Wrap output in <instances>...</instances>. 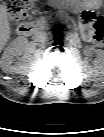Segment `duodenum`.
I'll list each match as a JSON object with an SVG mask.
<instances>
[{
    "mask_svg": "<svg viewBox=\"0 0 104 137\" xmlns=\"http://www.w3.org/2000/svg\"><path fill=\"white\" fill-rule=\"evenodd\" d=\"M34 30L35 25L30 22H24L18 26V32L22 36H30L33 34Z\"/></svg>",
    "mask_w": 104,
    "mask_h": 137,
    "instance_id": "duodenum-1",
    "label": "duodenum"
}]
</instances>
